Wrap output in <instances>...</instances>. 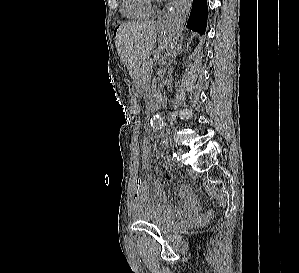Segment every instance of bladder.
<instances>
[{"label":"bladder","mask_w":299,"mask_h":273,"mask_svg":"<svg viewBox=\"0 0 299 273\" xmlns=\"http://www.w3.org/2000/svg\"><path fill=\"white\" fill-rule=\"evenodd\" d=\"M134 218L137 222L152 224L161 229L166 228L173 223V219H168L158 214L153 208L136 210Z\"/></svg>","instance_id":"bladder-1"}]
</instances>
